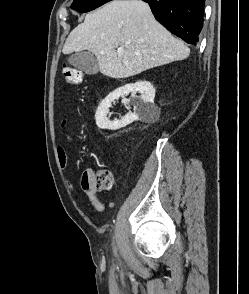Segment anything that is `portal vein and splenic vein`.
Here are the masks:
<instances>
[{"mask_svg": "<svg viewBox=\"0 0 249 294\" xmlns=\"http://www.w3.org/2000/svg\"><path fill=\"white\" fill-rule=\"evenodd\" d=\"M122 52H123V49H122V48H118V49H117V54H118V55H121Z\"/></svg>", "mask_w": 249, "mask_h": 294, "instance_id": "portal-vein-and-splenic-vein-1", "label": "portal vein and splenic vein"}]
</instances>
